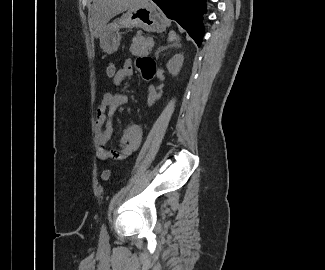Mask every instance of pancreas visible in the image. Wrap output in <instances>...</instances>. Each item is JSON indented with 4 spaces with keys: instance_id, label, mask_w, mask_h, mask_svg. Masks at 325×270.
<instances>
[{
    "instance_id": "1",
    "label": "pancreas",
    "mask_w": 325,
    "mask_h": 270,
    "mask_svg": "<svg viewBox=\"0 0 325 270\" xmlns=\"http://www.w3.org/2000/svg\"><path fill=\"white\" fill-rule=\"evenodd\" d=\"M149 42L150 38H144L143 36L137 34L132 40L130 52L135 56L147 55L152 49Z\"/></svg>"
}]
</instances>
